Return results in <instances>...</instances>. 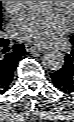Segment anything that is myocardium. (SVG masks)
<instances>
[{"label": "myocardium", "mask_w": 74, "mask_h": 122, "mask_svg": "<svg viewBox=\"0 0 74 122\" xmlns=\"http://www.w3.org/2000/svg\"><path fill=\"white\" fill-rule=\"evenodd\" d=\"M63 2H67L69 4V12L71 16L73 17L74 14V1H57V4L60 5Z\"/></svg>", "instance_id": "myocardium-1"}]
</instances>
